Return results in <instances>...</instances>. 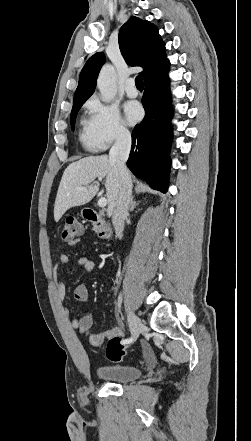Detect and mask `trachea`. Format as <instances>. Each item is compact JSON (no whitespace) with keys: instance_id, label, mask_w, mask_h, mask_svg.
I'll return each instance as SVG.
<instances>
[{"instance_id":"trachea-1","label":"trachea","mask_w":251,"mask_h":441,"mask_svg":"<svg viewBox=\"0 0 251 441\" xmlns=\"http://www.w3.org/2000/svg\"><path fill=\"white\" fill-rule=\"evenodd\" d=\"M135 83L137 87H143L142 76H137L135 79Z\"/></svg>"}]
</instances>
